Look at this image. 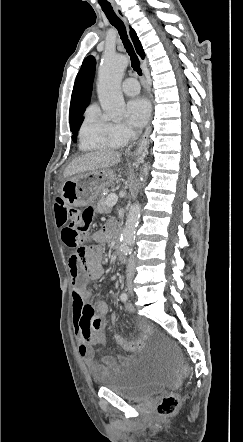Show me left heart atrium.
Masks as SVG:
<instances>
[{"mask_svg": "<svg viewBox=\"0 0 243 442\" xmlns=\"http://www.w3.org/2000/svg\"><path fill=\"white\" fill-rule=\"evenodd\" d=\"M150 105L144 98H134L127 104L128 122L134 128H142L148 121Z\"/></svg>", "mask_w": 243, "mask_h": 442, "instance_id": "obj_1", "label": "left heart atrium"}]
</instances>
